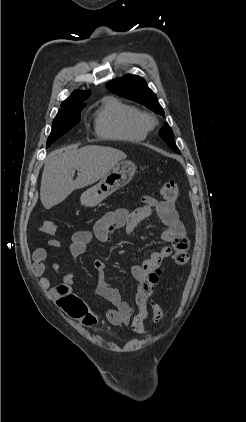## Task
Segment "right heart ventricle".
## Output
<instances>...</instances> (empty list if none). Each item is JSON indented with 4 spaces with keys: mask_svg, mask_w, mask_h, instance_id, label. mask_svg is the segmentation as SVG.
Listing matches in <instances>:
<instances>
[{
    "mask_svg": "<svg viewBox=\"0 0 246 422\" xmlns=\"http://www.w3.org/2000/svg\"><path fill=\"white\" fill-rule=\"evenodd\" d=\"M95 129L102 138L132 142L145 139L148 132L141 122L140 110L114 96L102 100Z\"/></svg>",
    "mask_w": 246,
    "mask_h": 422,
    "instance_id": "obj_1",
    "label": "right heart ventricle"
}]
</instances>
